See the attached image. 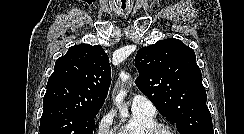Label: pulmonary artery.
I'll use <instances>...</instances> for the list:
<instances>
[{
    "label": "pulmonary artery",
    "instance_id": "e3ab8cb5",
    "mask_svg": "<svg viewBox=\"0 0 244 134\" xmlns=\"http://www.w3.org/2000/svg\"><path fill=\"white\" fill-rule=\"evenodd\" d=\"M131 109L132 111L141 112L147 115L154 116L156 109L152 102L143 95H135L131 99Z\"/></svg>",
    "mask_w": 244,
    "mask_h": 134
}]
</instances>
